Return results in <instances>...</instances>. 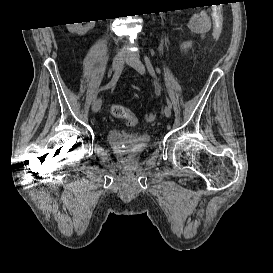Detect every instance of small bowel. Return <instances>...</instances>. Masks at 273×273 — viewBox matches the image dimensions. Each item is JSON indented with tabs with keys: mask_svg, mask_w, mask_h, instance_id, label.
<instances>
[{
	"mask_svg": "<svg viewBox=\"0 0 273 273\" xmlns=\"http://www.w3.org/2000/svg\"><path fill=\"white\" fill-rule=\"evenodd\" d=\"M215 16L213 17V21ZM188 33L204 37L212 27V20L202 14H196L192 16L188 21ZM191 46V42L184 40L181 44L182 51L186 52Z\"/></svg>",
	"mask_w": 273,
	"mask_h": 273,
	"instance_id": "c3829d8e",
	"label": "small bowel"
}]
</instances>
